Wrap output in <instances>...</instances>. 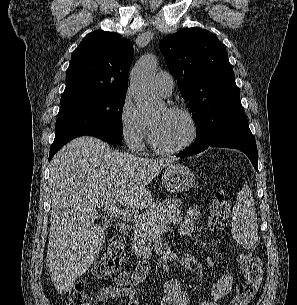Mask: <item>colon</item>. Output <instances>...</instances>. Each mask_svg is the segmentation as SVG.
Wrapping results in <instances>:
<instances>
[{
    "mask_svg": "<svg viewBox=\"0 0 297 305\" xmlns=\"http://www.w3.org/2000/svg\"><path fill=\"white\" fill-rule=\"evenodd\" d=\"M230 203L224 193H217L209 212V229L218 233L222 231L230 217ZM126 261L125 243L120 236L113 237L104 249L98 261L93 266L96 278H105L118 274ZM238 262L243 273V281L237 287L235 295L228 305H250L259 291L263 280L261 260L250 253L238 256ZM67 305H94V298L88 291L84 281L78 282L66 293Z\"/></svg>",
    "mask_w": 297,
    "mask_h": 305,
    "instance_id": "5ec220e1",
    "label": "colon"
}]
</instances>
